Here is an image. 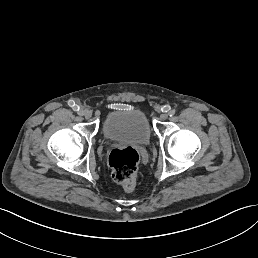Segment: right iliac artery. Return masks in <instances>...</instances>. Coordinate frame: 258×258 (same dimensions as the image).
Masks as SVG:
<instances>
[{
    "label": "right iliac artery",
    "mask_w": 258,
    "mask_h": 258,
    "mask_svg": "<svg viewBox=\"0 0 258 258\" xmlns=\"http://www.w3.org/2000/svg\"><path fill=\"white\" fill-rule=\"evenodd\" d=\"M78 115L79 116H83V112L82 111H78Z\"/></svg>",
    "instance_id": "82829eb1"
}]
</instances>
